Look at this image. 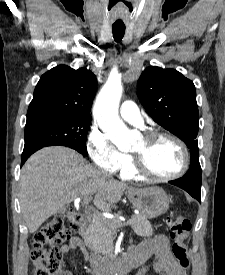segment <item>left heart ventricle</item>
<instances>
[{
    "mask_svg": "<svg viewBox=\"0 0 225 275\" xmlns=\"http://www.w3.org/2000/svg\"><path fill=\"white\" fill-rule=\"evenodd\" d=\"M132 152L143 154L148 169L156 175L173 174L180 169L183 162L180 148L169 139L147 143L142 137Z\"/></svg>",
    "mask_w": 225,
    "mask_h": 275,
    "instance_id": "1",
    "label": "left heart ventricle"
}]
</instances>
